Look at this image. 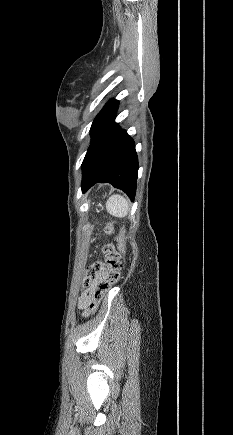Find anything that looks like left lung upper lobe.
<instances>
[{"label":"left lung upper lobe","mask_w":233,"mask_h":435,"mask_svg":"<svg viewBox=\"0 0 233 435\" xmlns=\"http://www.w3.org/2000/svg\"><path fill=\"white\" fill-rule=\"evenodd\" d=\"M118 101L113 99L109 101L100 113L96 116L91 126L92 140L101 132V130L114 121L115 113L118 108Z\"/></svg>","instance_id":"1"}]
</instances>
